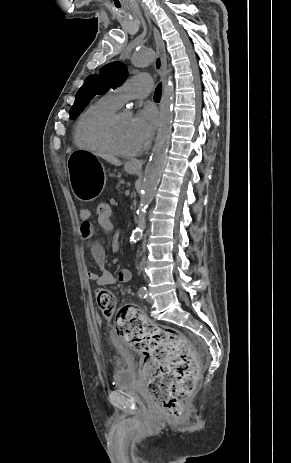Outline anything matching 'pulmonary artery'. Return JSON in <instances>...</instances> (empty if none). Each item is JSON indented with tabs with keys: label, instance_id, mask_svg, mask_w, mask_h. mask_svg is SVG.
Here are the masks:
<instances>
[{
	"label": "pulmonary artery",
	"instance_id": "pulmonary-artery-1",
	"mask_svg": "<svg viewBox=\"0 0 291 463\" xmlns=\"http://www.w3.org/2000/svg\"><path fill=\"white\" fill-rule=\"evenodd\" d=\"M153 88L152 77L147 74H139L131 77L121 86L111 90L109 95L113 102L121 106L131 99L147 97Z\"/></svg>",
	"mask_w": 291,
	"mask_h": 463
}]
</instances>
